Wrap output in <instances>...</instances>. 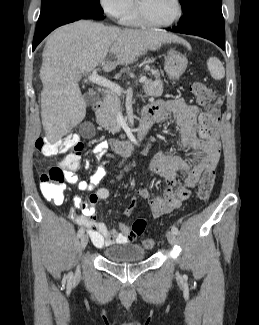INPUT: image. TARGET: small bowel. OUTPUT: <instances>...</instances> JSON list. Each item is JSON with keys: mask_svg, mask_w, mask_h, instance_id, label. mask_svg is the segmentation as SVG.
Returning <instances> with one entry per match:
<instances>
[{"mask_svg": "<svg viewBox=\"0 0 259 325\" xmlns=\"http://www.w3.org/2000/svg\"><path fill=\"white\" fill-rule=\"evenodd\" d=\"M143 113L149 114L155 122H164L173 118L181 136L184 147L193 152L197 164L191 168L189 160L177 155L158 152L150 162L153 174L164 180L163 196L151 194L146 187L137 188V194L146 200L154 217H161L180 207L182 201L191 195V189L207 172L214 171L220 157V143L217 140L218 129H207L208 113L200 112L199 108L188 103L183 98L159 100L149 105ZM218 117V114H217ZM217 122V121H216ZM106 142H99L94 147L93 153L101 160L107 152ZM59 165L64 168L65 180L76 185L81 191L92 192L89 202L84 201L79 195L74 196L75 208L81 214L75 215L76 222L86 227L93 244L104 248L113 244L134 242L137 234L126 225L119 223L118 231L108 228L95 217V205L100 200H106L110 191L106 187L97 188L106 176V169L99 165L88 180H81L77 174L82 168L80 157L67 155ZM89 162L84 163L89 168ZM183 176V182L179 178Z\"/></svg>", "mask_w": 259, "mask_h": 325, "instance_id": "c3829d8e", "label": "small bowel"}]
</instances>
